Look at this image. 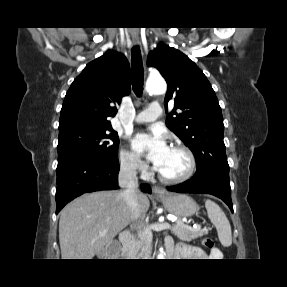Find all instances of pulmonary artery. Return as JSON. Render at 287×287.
Returning <instances> with one entry per match:
<instances>
[{"label":"pulmonary artery","mask_w":287,"mask_h":287,"mask_svg":"<svg viewBox=\"0 0 287 287\" xmlns=\"http://www.w3.org/2000/svg\"><path fill=\"white\" fill-rule=\"evenodd\" d=\"M161 115V108L157 104H150L144 111L140 112L135 118L136 123L153 122Z\"/></svg>","instance_id":"1"}]
</instances>
